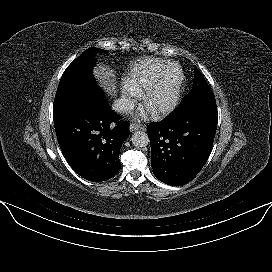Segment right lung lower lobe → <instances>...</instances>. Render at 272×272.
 Returning <instances> with one entry per match:
<instances>
[{
  "instance_id": "right-lung-lower-lobe-1",
  "label": "right lung lower lobe",
  "mask_w": 272,
  "mask_h": 272,
  "mask_svg": "<svg viewBox=\"0 0 272 272\" xmlns=\"http://www.w3.org/2000/svg\"><path fill=\"white\" fill-rule=\"evenodd\" d=\"M53 119L61 151L77 174L101 182L120 171L119 152L129 136V123L118 122L120 116L105 96L80 95Z\"/></svg>"
}]
</instances>
